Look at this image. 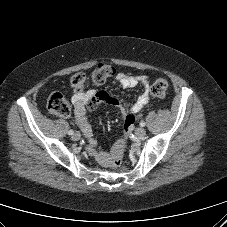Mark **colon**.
<instances>
[{
  "label": "colon",
  "mask_w": 227,
  "mask_h": 227,
  "mask_svg": "<svg viewBox=\"0 0 227 227\" xmlns=\"http://www.w3.org/2000/svg\"><path fill=\"white\" fill-rule=\"evenodd\" d=\"M115 75V69L108 64L100 63L93 71L91 75V81L95 85H102L108 79ZM70 84L72 89L76 92H82L88 85V79L84 73H76L70 78ZM168 89V82L164 78H158L151 87V95L154 98H162L165 96ZM48 110L61 117H67L71 113V107L67 99L59 92H53L50 94L47 100ZM136 116H128L125 120V130L130 128L136 121ZM123 164V151H118L112 161L111 167L118 169Z\"/></svg>",
  "instance_id": "obj_1"
}]
</instances>
